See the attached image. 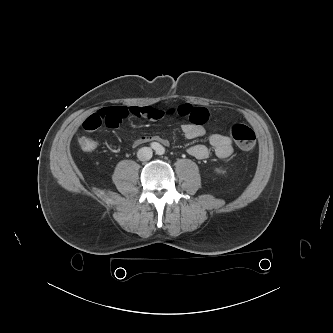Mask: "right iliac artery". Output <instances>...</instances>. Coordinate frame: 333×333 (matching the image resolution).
<instances>
[{"label": "right iliac artery", "instance_id": "obj_1", "mask_svg": "<svg viewBox=\"0 0 333 333\" xmlns=\"http://www.w3.org/2000/svg\"><path fill=\"white\" fill-rule=\"evenodd\" d=\"M150 146H151V148H153L154 150H158L159 147H160L159 143H157V142H152V143L150 144Z\"/></svg>", "mask_w": 333, "mask_h": 333}]
</instances>
